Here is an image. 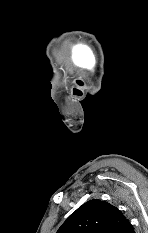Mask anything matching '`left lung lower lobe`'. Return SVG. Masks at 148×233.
<instances>
[{"instance_id": "0a47b994", "label": "left lung lower lobe", "mask_w": 148, "mask_h": 233, "mask_svg": "<svg viewBox=\"0 0 148 233\" xmlns=\"http://www.w3.org/2000/svg\"><path fill=\"white\" fill-rule=\"evenodd\" d=\"M131 233H134V229H133V231H131Z\"/></svg>"}]
</instances>
